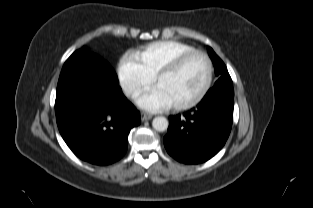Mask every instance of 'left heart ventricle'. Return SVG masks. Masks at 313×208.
<instances>
[{"label": "left heart ventricle", "instance_id": "left-heart-ventricle-1", "mask_svg": "<svg viewBox=\"0 0 313 208\" xmlns=\"http://www.w3.org/2000/svg\"><path fill=\"white\" fill-rule=\"evenodd\" d=\"M207 78V62L202 56L189 59L178 71L157 82L172 105L186 103L195 98Z\"/></svg>", "mask_w": 313, "mask_h": 208}]
</instances>
